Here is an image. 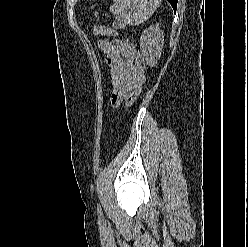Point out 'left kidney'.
Returning <instances> with one entry per match:
<instances>
[{"label": "left kidney", "mask_w": 248, "mask_h": 247, "mask_svg": "<svg viewBox=\"0 0 248 247\" xmlns=\"http://www.w3.org/2000/svg\"><path fill=\"white\" fill-rule=\"evenodd\" d=\"M163 45L164 33L159 29V24L151 25L144 30L140 37V49L150 67L157 64L161 57Z\"/></svg>", "instance_id": "obj_1"}]
</instances>
